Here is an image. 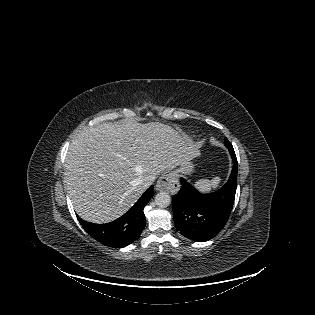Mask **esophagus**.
<instances>
[{
	"instance_id": "obj_1",
	"label": "esophagus",
	"mask_w": 315,
	"mask_h": 315,
	"mask_svg": "<svg viewBox=\"0 0 315 315\" xmlns=\"http://www.w3.org/2000/svg\"><path fill=\"white\" fill-rule=\"evenodd\" d=\"M179 181L173 172L163 174L156 183L158 191H167L170 193H177L179 191Z\"/></svg>"
}]
</instances>
